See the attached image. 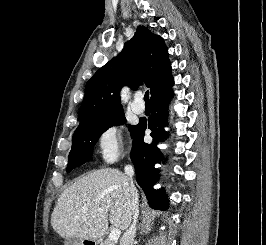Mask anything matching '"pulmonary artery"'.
Instances as JSON below:
<instances>
[{
  "instance_id": "1",
  "label": "pulmonary artery",
  "mask_w": 266,
  "mask_h": 245,
  "mask_svg": "<svg viewBox=\"0 0 266 245\" xmlns=\"http://www.w3.org/2000/svg\"><path fill=\"white\" fill-rule=\"evenodd\" d=\"M143 95L141 93H138L135 95L134 100L131 103V109L136 114H142L145 110V105L142 103Z\"/></svg>"
}]
</instances>
